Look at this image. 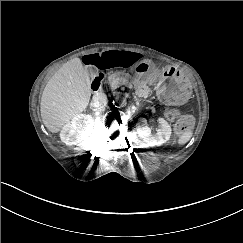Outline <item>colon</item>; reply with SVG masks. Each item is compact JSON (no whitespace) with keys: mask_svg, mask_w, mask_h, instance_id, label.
<instances>
[{"mask_svg":"<svg viewBox=\"0 0 243 243\" xmlns=\"http://www.w3.org/2000/svg\"><path fill=\"white\" fill-rule=\"evenodd\" d=\"M164 113L167 119L176 121L175 132L177 135H182L188 131L193 124L191 117H182L181 112L175 107L166 108Z\"/></svg>","mask_w":243,"mask_h":243,"instance_id":"1","label":"colon"}]
</instances>
